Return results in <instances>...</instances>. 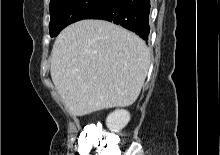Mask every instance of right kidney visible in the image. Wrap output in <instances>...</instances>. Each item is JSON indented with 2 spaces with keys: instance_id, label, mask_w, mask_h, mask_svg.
<instances>
[{
  "instance_id": "right-kidney-1",
  "label": "right kidney",
  "mask_w": 220,
  "mask_h": 155,
  "mask_svg": "<svg viewBox=\"0 0 220 155\" xmlns=\"http://www.w3.org/2000/svg\"><path fill=\"white\" fill-rule=\"evenodd\" d=\"M130 121V114L127 110H115L108 115L106 125L111 132L119 133Z\"/></svg>"
}]
</instances>
